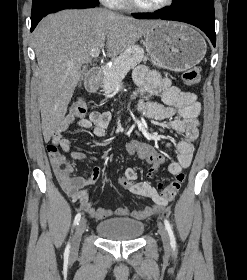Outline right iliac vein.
<instances>
[{
	"mask_svg": "<svg viewBox=\"0 0 247 280\" xmlns=\"http://www.w3.org/2000/svg\"><path fill=\"white\" fill-rule=\"evenodd\" d=\"M86 228V220L83 218L80 220V222L77 224L75 233H74V237L72 240V247H71V252L77 253L78 249H79V245H80V241H81V237L83 232L85 231Z\"/></svg>",
	"mask_w": 247,
	"mask_h": 280,
	"instance_id": "1",
	"label": "right iliac vein"
}]
</instances>
